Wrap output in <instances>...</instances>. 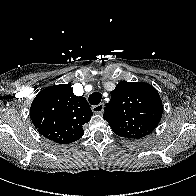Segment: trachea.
Here are the masks:
<instances>
[{
    "label": "trachea",
    "instance_id": "trachea-1",
    "mask_svg": "<svg viewBox=\"0 0 196 196\" xmlns=\"http://www.w3.org/2000/svg\"><path fill=\"white\" fill-rule=\"evenodd\" d=\"M102 99V95L99 92H93L90 96H89V103L91 105H98L101 102Z\"/></svg>",
    "mask_w": 196,
    "mask_h": 196
}]
</instances>
